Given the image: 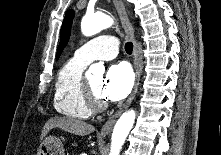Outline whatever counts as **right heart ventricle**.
Instances as JSON below:
<instances>
[{
    "label": "right heart ventricle",
    "mask_w": 221,
    "mask_h": 155,
    "mask_svg": "<svg viewBox=\"0 0 221 155\" xmlns=\"http://www.w3.org/2000/svg\"><path fill=\"white\" fill-rule=\"evenodd\" d=\"M86 65L73 57L60 68L53 95V104L59 113L78 119L91 115L82 94V74Z\"/></svg>",
    "instance_id": "e07e8e85"
}]
</instances>
